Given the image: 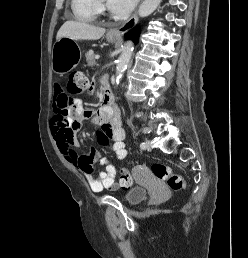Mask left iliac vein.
Returning <instances> with one entry per match:
<instances>
[{
    "label": "left iliac vein",
    "mask_w": 248,
    "mask_h": 258,
    "mask_svg": "<svg viewBox=\"0 0 248 258\" xmlns=\"http://www.w3.org/2000/svg\"><path fill=\"white\" fill-rule=\"evenodd\" d=\"M145 149L148 150V151L151 150V143H150L149 140H146V141H145Z\"/></svg>",
    "instance_id": "obj_1"
}]
</instances>
